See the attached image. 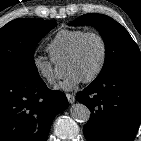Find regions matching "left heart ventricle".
Segmentation results:
<instances>
[{
  "instance_id": "1",
  "label": "left heart ventricle",
  "mask_w": 141,
  "mask_h": 141,
  "mask_svg": "<svg viewBox=\"0 0 141 141\" xmlns=\"http://www.w3.org/2000/svg\"><path fill=\"white\" fill-rule=\"evenodd\" d=\"M102 55L101 44L94 37L88 38L79 55L70 60H66L65 69L67 72L74 71L83 79L89 77L98 68Z\"/></svg>"
}]
</instances>
